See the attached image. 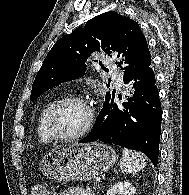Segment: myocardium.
I'll return each mask as SVG.
<instances>
[{
    "mask_svg": "<svg viewBox=\"0 0 189 195\" xmlns=\"http://www.w3.org/2000/svg\"><path fill=\"white\" fill-rule=\"evenodd\" d=\"M69 104H79V105L84 106L88 111V120H87L86 125L80 132L73 134V135L66 136V135H61L56 131L55 126H54V119L57 113L63 107ZM94 122H95V112L90 102L80 96H69V97L60 99L58 102H56L51 107V109L49 110L46 116L45 125H46L47 132L49 133V135L51 136L53 140L60 141V142H71V141L78 140L84 137L85 135H87L92 129Z\"/></svg>",
    "mask_w": 189,
    "mask_h": 195,
    "instance_id": "myocardium-1",
    "label": "myocardium"
}]
</instances>
